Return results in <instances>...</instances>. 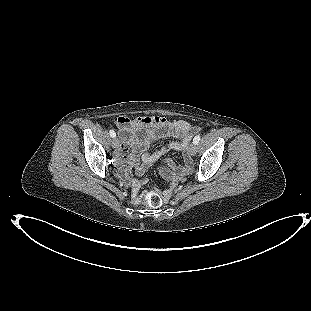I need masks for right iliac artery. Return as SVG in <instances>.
<instances>
[{"label":"right iliac artery","instance_id":"82829eb1","mask_svg":"<svg viewBox=\"0 0 311 311\" xmlns=\"http://www.w3.org/2000/svg\"><path fill=\"white\" fill-rule=\"evenodd\" d=\"M109 133H110V136L113 138L116 136V133L114 132V130H110Z\"/></svg>","mask_w":311,"mask_h":311}]
</instances>
